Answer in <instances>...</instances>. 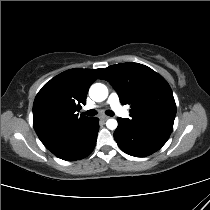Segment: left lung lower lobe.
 Here are the masks:
<instances>
[{"mask_svg": "<svg viewBox=\"0 0 210 210\" xmlns=\"http://www.w3.org/2000/svg\"><path fill=\"white\" fill-rule=\"evenodd\" d=\"M117 121L114 139L122 151L132 156H148L159 150L169 138V135L130 128L121 118Z\"/></svg>", "mask_w": 210, "mask_h": 210, "instance_id": "left-lung-lower-lobe-1", "label": "left lung lower lobe"}]
</instances>
